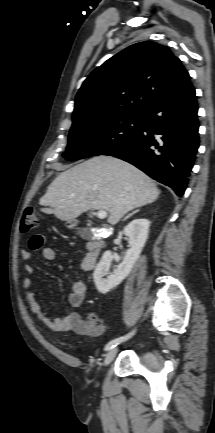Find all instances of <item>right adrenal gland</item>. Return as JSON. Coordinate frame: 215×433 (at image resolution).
<instances>
[{"label":"right adrenal gland","mask_w":215,"mask_h":433,"mask_svg":"<svg viewBox=\"0 0 215 433\" xmlns=\"http://www.w3.org/2000/svg\"><path fill=\"white\" fill-rule=\"evenodd\" d=\"M137 212H139V209H138V210H135L134 212H132L131 214H129L128 216H126L123 220L128 219L129 217H131L132 215H134V214L137 213Z\"/></svg>","instance_id":"right-adrenal-gland-1"}]
</instances>
